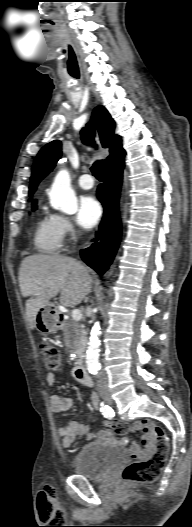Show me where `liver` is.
I'll use <instances>...</instances> for the list:
<instances>
[{
    "label": "liver",
    "mask_w": 192,
    "mask_h": 527,
    "mask_svg": "<svg viewBox=\"0 0 192 527\" xmlns=\"http://www.w3.org/2000/svg\"><path fill=\"white\" fill-rule=\"evenodd\" d=\"M92 277L81 262L61 255L35 254L25 257L19 269V285L26 301V320L36 328L41 306L59 292L60 303L74 307L91 291Z\"/></svg>",
    "instance_id": "1"
}]
</instances>
